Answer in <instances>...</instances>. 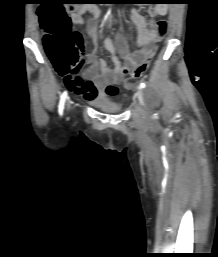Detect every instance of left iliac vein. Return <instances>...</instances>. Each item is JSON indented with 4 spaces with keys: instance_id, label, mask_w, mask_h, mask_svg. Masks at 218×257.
Returning a JSON list of instances; mask_svg holds the SVG:
<instances>
[{
    "instance_id": "4c4485c4",
    "label": "left iliac vein",
    "mask_w": 218,
    "mask_h": 257,
    "mask_svg": "<svg viewBox=\"0 0 218 257\" xmlns=\"http://www.w3.org/2000/svg\"><path fill=\"white\" fill-rule=\"evenodd\" d=\"M136 96L138 98V100L140 101V103L142 105H144V93H143V89L141 87H139L136 91Z\"/></svg>"
}]
</instances>
